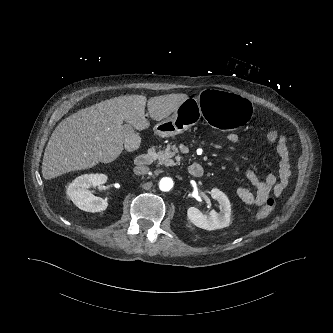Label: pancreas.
I'll return each instance as SVG.
<instances>
[{
	"mask_svg": "<svg viewBox=\"0 0 333 333\" xmlns=\"http://www.w3.org/2000/svg\"><path fill=\"white\" fill-rule=\"evenodd\" d=\"M178 149L175 145L168 144L165 150L159 149L156 156L160 164L165 166H172L180 164L181 158L177 154ZM175 156L176 162L172 159Z\"/></svg>",
	"mask_w": 333,
	"mask_h": 333,
	"instance_id": "1",
	"label": "pancreas"
}]
</instances>
